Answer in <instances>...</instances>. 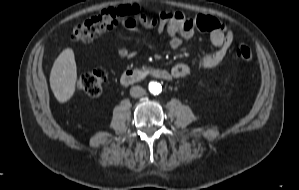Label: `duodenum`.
<instances>
[{"label": "duodenum", "instance_id": "obj_1", "mask_svg": "<svg viewBox=\"0 0 299 190\" xmlns=\"http://www.w3.org/2000/svg\"><path fill=\"white\" fill-rule=\"evenodd\" d=\"M154 77L157 79H170L171 74L168 70L162 69V68H155V69H146V70H129L126 73H124L121 77V82L124 85H131L134 83L139 82L145 77Z\"/></svg>", "mask_w": 299, "mask_h": 190}]
</instances>
